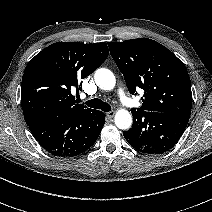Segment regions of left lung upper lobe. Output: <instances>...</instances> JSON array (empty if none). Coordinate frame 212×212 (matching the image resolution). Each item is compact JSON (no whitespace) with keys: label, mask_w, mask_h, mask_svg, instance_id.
Returning <instances> with one entry per match:
<instances>
[{"label":"left lung upper lobe","mask_w":212,"mask_h":212,"mask_svg":"<svg viewBox=\"0 0 212 212\" xmlns=\"http://www.w3.org/2000/svg\"><path fill=\"white\" fill-rule=\"evenodd\" d=\"M108 46L129 92L145 91L142 107L133 108L132 114L157 111L190 116V78L185 65L169 49L147 38L108 42Z\"/></svg>","instance_id":"obj_1"}]
</instances>
